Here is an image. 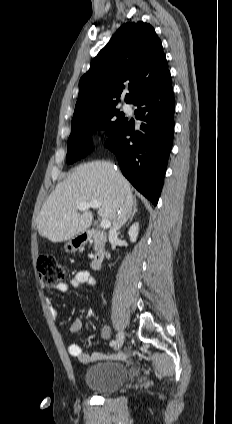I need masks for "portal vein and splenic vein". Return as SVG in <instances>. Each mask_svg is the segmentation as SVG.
<instances>
[{
    "mask_svg": "<svg viewBox=\"0 0 232 424\" xmlns=\"http://www.w3.org/2000/svg\"><path fill=\"white\" fill-rule=\"evenodd\" d=\"M95 208L98 209L101 207V202L100 201H91V202H82L80 203L77 208L80 211H85L89 208ZM111 226V222L108 219H102L101 223H100V227L103 229H107Z\"/></svg>",
    "mask_w": 232,
    "mask_h": 424,
    "instance_id": "portal-vein-and-splenic-vein-1",
    "label": "portal vein and splenic vein"
}]
</instances>
